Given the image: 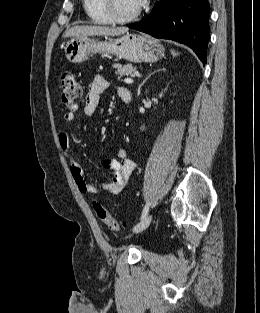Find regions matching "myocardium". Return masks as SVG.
Returning <instances> with one entry per match:
<instances>
[{"label": "myocardium", "mask_w": 260, "mask_h": 313, "mask_svg": "<svg viewBox=\"0 0 260 313\" xmlns=\"http://www.w3.org/2000/svg\"><path fill=\"white\" fill-rule=\"evenodd\" d=\"M102 7L111 22L127 23L135 20L140 15L144 7V3L141 4L140 7L135 12L127 16H120L116 13L114 8V0H102Z\"/></svg>", "instance_id": "obj_1"}]
</instances>
